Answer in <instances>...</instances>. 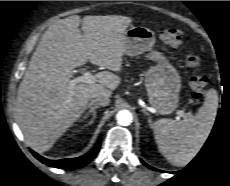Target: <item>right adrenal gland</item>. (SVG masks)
<instances>
[{"label": "right adrenal gland", "instance_id": "1", "mask_svg": "<svg viewBox=\"0 0 230 186\" xmlns=\"http://www.w3.org/2000/svg\"><path fill=\"white\" fill-rule=\"evenodd\" d=\"M98 108H99V106H94V107L89 106V110H88L87 114L84 116V118H86L89 114L92 115V118L87 125H90L94 122V120L96 118V109H98Z\"/></svg>", "mask_w": 230, "mask_h": 186}]
</instances>
